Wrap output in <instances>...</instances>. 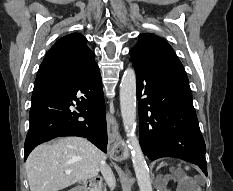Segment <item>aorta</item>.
I'll use <instances>...</instances> for the list:
<instances>
[{"mask_svg":"<svg viewBox=\"0 0 233 191\" xmlns=\"http://www.w3.org/2000/svg\"><path fill=\"white\" fill-rule=\"evenodd\" d=\"M120 109L139 189L152 191L149 168L136 136V75L133 68L126 69L121 79Z\"/></svg>","mask_w":233,"mask_h":191,"instance_id":"762f6f07","label":"aorta"}]
</instances>
